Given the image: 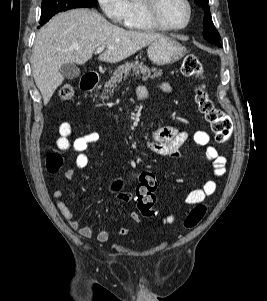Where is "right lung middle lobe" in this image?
<instances>
[{"instance_id": "1", "label": "right lung middle lobe", "mask_w": 267, "mask_h": 301, "mask_svg": "<svg viewBox=\"0 0 267 301\" xmlns=\"http://www.w3.org/2000/svg\"><path fill=\"white\" fill-rule=\"evenodd\" d=\"M97 0H43L40 25L48 22L56 13L75 8H92Z\"/></svg>"}]
</instances>
